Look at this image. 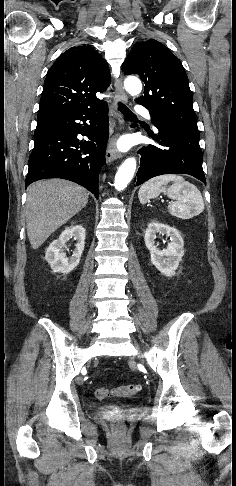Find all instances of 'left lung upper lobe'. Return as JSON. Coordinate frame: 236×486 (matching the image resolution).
<instances>
[{
    "label": "left lung upper lobe",
    "mask_w": 236,
    "mask_h": 486,
    "mask_svg": "<svg viewBox=\"0 0 236 486\" xmlns=\"http://www.w3.org/2000/svg\"><path fill=\"white\" fill-rule=\"evenodd\" d=\"M122 70L143 79L144 96L136 102L148 108L151 117L198 130L188 77L180 60L166 46L154 39L135 43Z\"/></svg>",
    "instance_id": "left-lung-upper-lobe-1"
}]
</instances>
